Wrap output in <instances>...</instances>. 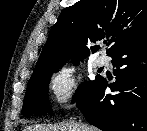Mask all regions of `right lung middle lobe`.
I'll list each match as a JSON object with an SVG mask.
<instances>
[{"mask_svg": "<svg viewBox=\"0 0 147 131\" xmlns=\"http://www.w3.org/2000/svg\"><path fill=\"white\" fill-rule=\"evenodd\" d=\"M56 71L57 68H54L31 76L27 85L22 115L26 116L33 113H47L51 111L48 102V85L51 75ZM98 79L99 76L93 81H85L78 88L74 101L79 102Z\"/></svg>", "mask_w": 147, "mask_h": 131, "instance_id": "obj_1", "label": "right lung middle lobe"}]
</instances>
